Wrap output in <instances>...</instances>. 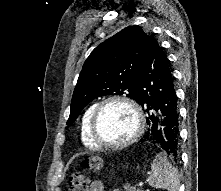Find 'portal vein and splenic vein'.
<instances>
[{
    "label": "portal vein and splenic vein",
    "instance_id": "obj_1",
    "mask_svg": "<svg viewBox=\"0 0 221 191\" xmlns=\"http://www.w3.org/2000/svg\"><path fill=\"white\" fill-rule=\"evenodd\" d=\"M144 184H145L144 182H139L138 186H139V187H143Z\"/></svg>",
    "mask_w": 221,
    "mask_h": 191
}]
</instances>
